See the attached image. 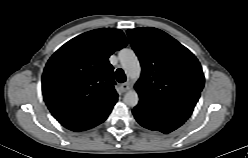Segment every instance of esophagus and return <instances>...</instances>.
<instances>
[{
	"mask_svg": "<svg viewBox=\"0 0 248 158\" xmlns=\"http://www.w3.org/2000/svg\"><path fill=\"white\" fill-rule=\"evenodd\" d=\"M129 88H130V83L129 82H125V83L121 84V90H122V92L128 91Z\"/></svg>",
	"mask_w": 248,
	"mask_h": 158,
	"instance_id": "1",
	"label": "esophagus"
}]
</instances>
